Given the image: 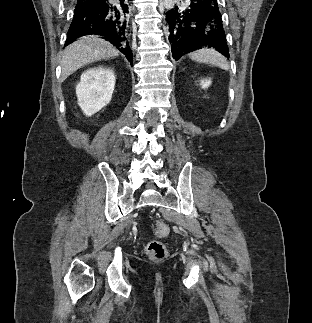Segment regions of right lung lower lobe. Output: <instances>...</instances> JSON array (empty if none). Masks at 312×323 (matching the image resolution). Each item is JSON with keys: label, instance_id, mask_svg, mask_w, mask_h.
Masks as SVG:
<instances>
[{"label": "right lung lower lobe", "instance_id": "98d812e1", "mask_svg": "<svg viewBox=\"0 0 312 323\" xmlns=\"http://www.w3.org/2000/svg\"><path fill=\"white\" fill-rule=\"evenodd\" d=\"M132 0H78L65 45L84 35H100L133 62L128 17Z\"/></svg>", "mask_w": 312, "mask_h": 323}]
</instances>
